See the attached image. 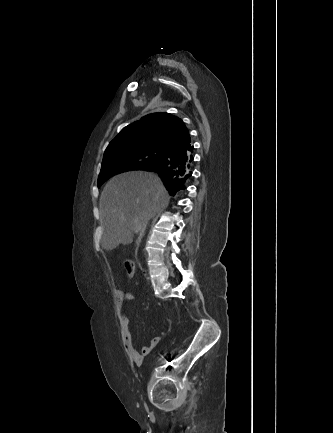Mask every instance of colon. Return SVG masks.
Instances as JSON below:
<instances>
[{
  "label": "colon",
  "mask_w": 333,
  "mask_h": 433,
  "mask_svg": "<svg viewBox=\"0 0 333 433\" xmlns=\"http://www.w3.org/2000/svg\"><path fill=\"white\" fill-rule=\"evenodd\" d=\"M124 268L129 277H132L135 273V264L133 261L126 259L124 262Z\"/></svg>",
  "instance_id": "obj_1"
}]
</instances>
